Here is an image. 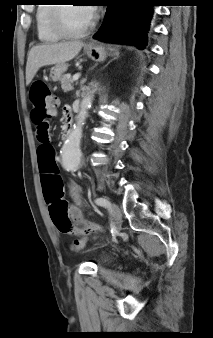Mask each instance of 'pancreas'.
Masks as SVG:
<instances>
[{"label":"pancreas","mask_w":213,"mask_h":338,"mask_svg":"<svg viewBox=\"0 0 213 338\" xmlns=\"http://www.w3.org/2000/svg\"><path fill=\"white\" fill-rule=\"evenodd\" d=\"M61 87L64 92L73 90L72 79L68 75H64L61 78Z\"/></svg>","instance_id":"cf45deb5"}]
</instances>
